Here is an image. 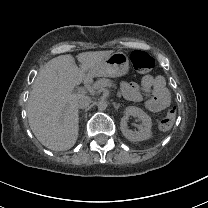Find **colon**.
<instances>
[{
    "label": "colon",
    "mask_w": 208,
    "mask_h": 208,
    "mask_svg": "<svg viewBox=\"0 0 208 208\" xmlns=\"http://www.w3.org/2000/svg\"><path fill=\"white\" fill-rule=\"evenodd\" d=\"M131 61L137 72H149L154 67L153 57L146 51L134 50L131 53ZM176 112L173 108L166 111L163 118L159 121V129L162 131L170 130L175 122Z\"/></svg>",
    "instance_id": "5ec220e1"
}]
</instances>
